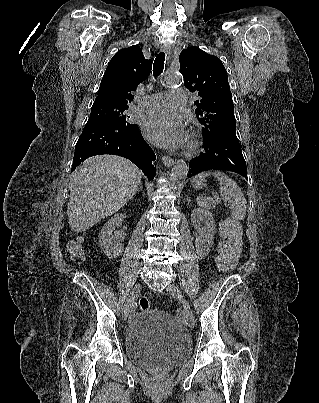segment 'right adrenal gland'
<instances>
[{"instance_id":"1","label":"right adrenal gland","mask_w":319,"mask_h":403,"mask_svg":"<svg viewBox=\"0 0 319 403\" xmlns=\"http://www.w3.org/2000/svg\"><path fill=\"white\" fill-rule=\"evenodd\" d=\"M142 189H143V186H142V183L139 185V188L137 189V192H139V191H142Z\"/></svg>"}]
</instances>
